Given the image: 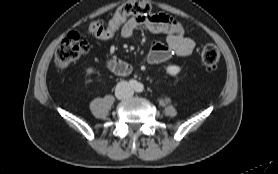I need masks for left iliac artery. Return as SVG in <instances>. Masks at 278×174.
I'll use <instances>...</instances> for the list:
<instances>
[{
    "mask_svg": "<svg viewBox=\"0 0 278 174\" xmlns=\"http://www.w3.org/2000/svg\"><path fill=\"white\" fill-rule=\"evenodd\" d=\"M144 89L143 85L142 84H138L137 87H136V91L137 92H142Z\"/></svg>",
    "mask_w": 278,
    "mask_h": 174,
    "instance_id": "obj_1",
    "label": "left iliac artery"
}]
</instances>
